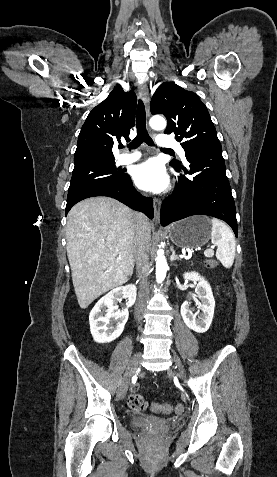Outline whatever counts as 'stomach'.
<instances>
[{"instance_id":"1","label":"stomach","mask_w":277,"mask_h":477,"mask_svg":"<svg viewBox=\"0 0 277 477\" xmlns=\"http://www.w3.org/2000/svg\"><path fill=\"white\" fill-rule=\"evenodd\" d=\"M170 240L178 247L194 249L211 238V225L206 216L196 215L175 222L168 228Z\"/></svg>"}]
</instances>
